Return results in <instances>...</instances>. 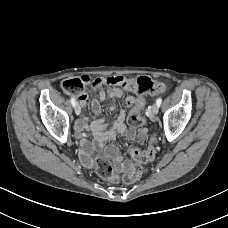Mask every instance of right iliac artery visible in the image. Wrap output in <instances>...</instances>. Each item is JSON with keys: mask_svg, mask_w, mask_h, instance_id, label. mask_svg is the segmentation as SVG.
Returning <instances> with one entry per match:
<instances>
[{"mask_svg": "<svg viewBox=\"0 0 228 228\" xmlns=\"http://www.w3.org/2000/svg\"><path fill=\"white\" fill-rule=\"evenodd\" d=\"M70 101H71V104L75 107V105H76L75 99L72 97V98L70 99Z\"/></svg>", "mask_w": 228, "mask_h": 228, "instance_id": "right-iliac-artery-1", "label": "right iliac artery"}]
</instances>
